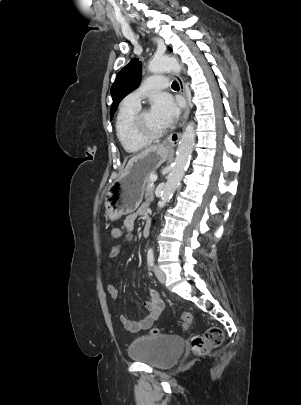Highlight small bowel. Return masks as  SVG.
I'll return each mask as SVG.
<instances>
[{
    "mask_svg": "<svg viewBox=\"0 0 301 405\" xmlns=\"http://www.w3.org/2000/svg\"><path fill=\"white\" fill-rule=\"evenodd\" d=\"M138 216L147 218L148 216V205L143 204L138 208L136 212L130 213L125 217L124 229L126 231L125 241L132 240V232L135 227V222ZM112 240L119 241L122 238V232L118 229L117 236H111ZM122 248V244L117 242L112 245L109 256L110 258H115L119 255ZM107 292L113 301H116L119 296L118 288L112 284H107ZM144 307L147 310V314L140 320L133 321L128 319L125 315L120 316L121 323L124 328L130 332H138L140 330L148 329L152 324L158 319L163 310V303L159 298L158 293L155 290H150L148 292L147 299L144 301Z\"/></svg>",
    "mask_w": 301,
    "mask_h": 405,
    "instance_id": "small-bowel-1",
    "label": "small bowel"
}]
</instances>
